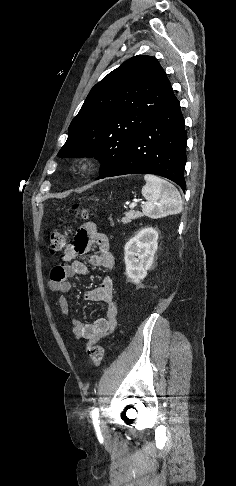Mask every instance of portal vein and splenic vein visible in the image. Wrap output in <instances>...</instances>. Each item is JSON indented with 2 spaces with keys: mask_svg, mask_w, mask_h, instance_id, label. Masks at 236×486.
<instances>
[{
  "mask_svg": "<svg viewBox=\"0 0 236 486\" xmlns=\"http://www.w3.org/2000/svg\"><path fill=\"white\" fill-rule=\"evenodd\" d=\"M137 206V202H134L130 205V209H134Z\"/></svg>",
  "mask_w": 236,
  "mask_h": 486,
  "instance_id": "18ae733b",
  "label": "portal vein and splenic vein"
}]
</instances>
